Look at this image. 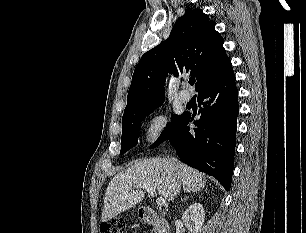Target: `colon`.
Listing matches in <instances>:
<instances>
[{"label":"colon","mask_w":306,"mask_h":233,"mask_svg":"<svg viewBox=\"0 0 306 233\" xmlns=\"http://www.w3.org/2000/svg\"><path fill=\"white\" fill-rule=\"evenodd\" d=\"M125 221L122 219H114L111 222L104 223L100 226L101 233H123Z\"/></svg>","instance_id":"5ec220e1"}]
</instances>
